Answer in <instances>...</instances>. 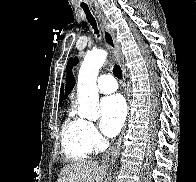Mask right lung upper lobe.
Here are the masks:
<instances>
[{
    "mask_svg": "<svg viewBox=\"0 0 196 182\" xmlns=\"http://www.w3.org/2000/svg\"><path fill=\"white\" fill-rule=\"evenodd\" d=\"M62 100H63V86H62L61 92H60V100H59L60 106H61V104H62Z\"/></svg>",
    "mask_w": 196,
    "mask_h": 182,
    "instance_id": "right-lung-upper-lobe-1",
    "label": "right lung upper lobe"
}]
</instances>
